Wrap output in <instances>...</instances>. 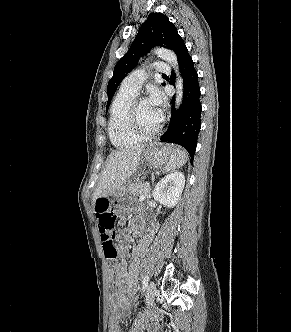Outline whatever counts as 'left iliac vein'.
Returning <instances> with one entry per match:
<instances>
[{"label":"left iliac vein","mask_w":291,"mask_h":332,"mask_svg":"<svg viewBox=\"0 0 291 332\" xmlns=\"http://www.w3.org/2000/svg\"><path fill=\"white\" fill-rule=\"evenodd\" d=\"M157 289L155 283L152 281L150 282L147 291H146V301L148 305H152L155 301Z\"/></svg>","instance_id":"1"}]
</instances>
